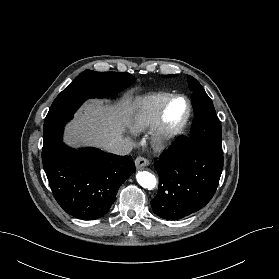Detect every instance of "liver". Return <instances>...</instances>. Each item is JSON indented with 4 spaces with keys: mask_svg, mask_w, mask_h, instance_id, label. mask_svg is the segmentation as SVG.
I'll return each mask as SVG.
<instances>
[{
    "mask_svg": "<svg viewBox=\"0 0 279 279\" xmlns=\"http://www.w3.org/2000/svg\"><path fill=\"white\" fill-rule=\"evenodd\" d=\"M137 107L130 96H124L115 105L97 99L88 101L66 126L64 142L74 148L95 146L105 149L107 143L123 137Z\"/></svg>",
    "mask_w": 279,
    "mask_h": 279,
    "instance_id": "1",
    "label": "liver"
}]
</instances>
